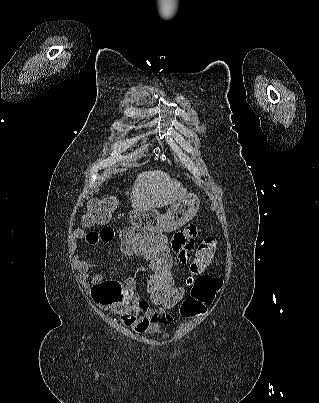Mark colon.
I'll list each match as a JSON object with an SVG mask.
<instances>
[{"label":"colon","instance_id":"1","mask_svg":"<svg viewBox=\"0 0 319 403\" xmlns=\"http://www.w3.org/2000/svg\"><path fill=\"white\" fill-rule=\"evenodd\" d=\"M117 202L114 197H92L83 223L105 224L114 215ZM119 240L120 243H126L125 260H134L136 257L137 260H143L144 268H150L147 270L149 281L146 290L149 304H159L160 313H175L176 317H180L181 325H193V317L208 315V308L215 294L220 292L222 282L219 276H205L215 261L216 238H207L205 242L195 245L189 267H186V276H191L187 284H193V296L182 298L183 288L174 282L173 268H177L178 262L173 260L169 252V234H143L142 229L127 226ZM179 303L181 308H177Z\"/></svg>","mask_w":319,"mask_h":403}]
</instances>
